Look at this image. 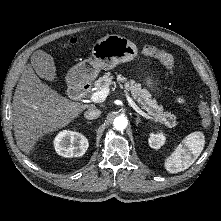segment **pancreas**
I'll return each instance as SVG.
<instances>
[{
  "instance_id": "cf45deb5",
  "label": "pancreas",
  "mask_w": 221,
  "mask_h": 221,
  "mask_svg": "<svg viewBox=\"0 0 221 221\" xmlns=\"http://www.w3.org/2000/svg\"><path fill=\"white\" fill-rule=\"evenodd\" d=\"M112 79L113 76L108 72L94 82V87L97 90H101L105 86L113 84ZM117 81L125 83L124 88L131 92L132 97L140 104L142 109L147 111L148 115L157 121L163 122L168 127L176 126V116L170 112H164L163 107L158 105L156 100L151 99V94L146 89H142L139 83H136L134 80L128 81L127 78L121 75L117 77Z\"/></svg>"
}]
</instances>
